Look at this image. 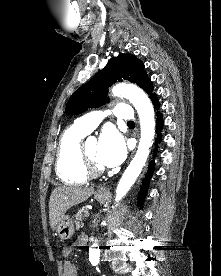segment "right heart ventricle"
<instances>
[{"mask_svg": "<svg viewBox=\"0 0 221 276\" xmlns=\"http://www.w3.org/2000/svg\"><path fill=\"white\" fill-rule=\"evenodd\" d=\"M85 133L76 127H70L61 135L56 156V172L67 184H83L88 180L82 155L81 141Z\"/></svg>", "mask_w": 221, "mask_h": 276, "instance_id": "e07e8e85", "label": "right heart ventricle"}]
</instances>
